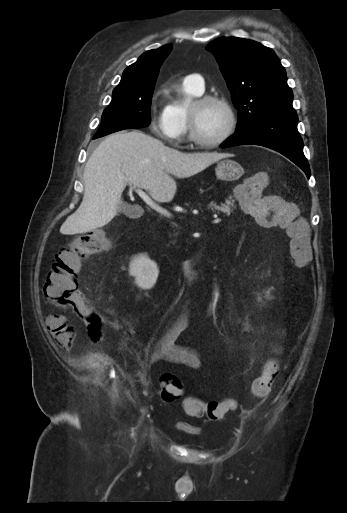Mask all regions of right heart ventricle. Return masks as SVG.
<instances>
[{"label": "right heart ventricle", "instance_id": "1", "mask_svg": "<svg viewBox=\"0 0 347 513\" xmlns=\"http://www.w3.org/2000/svg\"><path fill=\"white\" fill-rule=\"evenodd\" d=\"M201 92L197 91L187 81H181L176 87L173 88L171 98L167 105L164 107L176 127L181 131L183 137L187 131V110L188 103L186 98L198 97Z\"/></svg>", "mask_w": 347, "mask_h": 513}]
</instances>
